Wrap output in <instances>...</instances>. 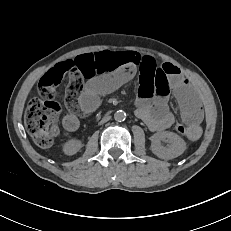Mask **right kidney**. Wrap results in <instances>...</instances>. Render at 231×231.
Here are the masks:
<instances>
[{"label": "right kidney", "mask_w": 231, "mask_h": 231, "mask_svg": "<svg viewBox=\"0 0 231 231\" xmlns=\"http://www.w3.org/2000/svg\"><path fill=\"white\" fill-rule=\"evenodd\" d=\"M81 142L77 139H71L64 144V152L67 155H73L81 148Z\"/></svg>", "instance_id": "obj_1"}]
</instances>
